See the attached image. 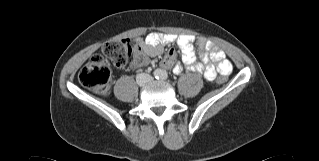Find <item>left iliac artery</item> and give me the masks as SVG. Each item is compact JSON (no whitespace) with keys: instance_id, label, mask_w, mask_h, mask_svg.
<instances>
[{"instance_id":"left-iliac-artery-1","label":"left iliac artery","mask_w":319,"mask_h":161,"mask_svg":"<svg viewBox=\"0 0 319 161\" xmlns=\"http://www.w3.org/2000/svg\"><path fill=\"white\" fill-rule=\"evenodd\" d=\"M160 78L162 80H166L168 78V74L166 71H161V75H160Z\"/></svg>"}]
</instances>
